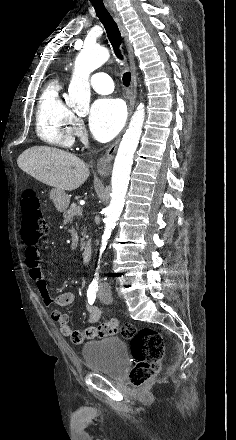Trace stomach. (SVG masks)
Wrapping results in <instances>:
<instances>
[{
	"label": "stomach",
	"mask_w": 236,
	"mask_h": 440,
	"mask_svg": "<svg viewBox=\"0 0 236 440\" xmlns=\"http://www.w3.org/2000/svg\"><path fill=\"white\" fill-rule=\"evenodd\" d=\"M50 199L53 201L56 209L60 212L66 211L69 205V197L63 190L52 189Z\"/></svg>",
	"instance_id": "0dacf381"
}]
</instances>
